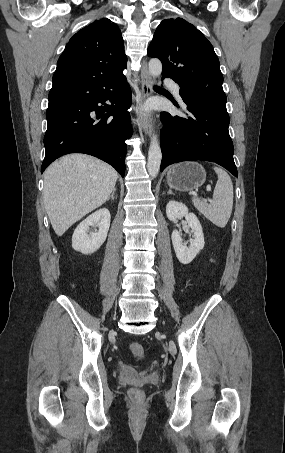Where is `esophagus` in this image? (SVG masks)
Returning a JSON list of instances; mask_svg holds the SVG:
<instances>
[{
  "label": "esophagus",
  "instance_id": "1",
  "mask_svg": "<svg viewBox=\"0 0 285 453\" xmlns=\"http://www.w3.org/2000/svg\"><path fill=\"white\" fill-rule=\"evenodd\" d=\"M140 78H141V97H140V101L138 102V107H137V113H138L137 122H138V126H139L140 130H142L146 135H150L151 130H152L151 116L149 113L143 112V109H142L143 101L147 97H149L153 92L152 86H151V78H150V74L148 71L146 60H143V62H142Z\"/></svg>",
  "mask_w": 285,
  "mask_h": 453
}]
</instances>
